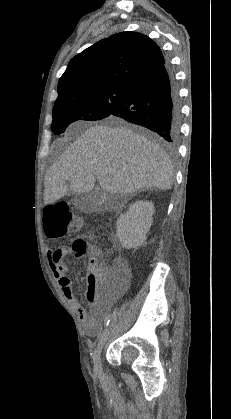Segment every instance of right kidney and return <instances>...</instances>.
<instances>
[{"mask_svg":"<svg viewBox=\"0 0 231 419\" xmlns=\"http://www.w3.org/2000/svg\"><path fill=\"white\" fill-rule=\"evenodd\" d=\"M154 206L149 201H136L116 221V235L122 247L130 249L143 244L153 222Z\"/></svg>","mask_w":231,"mask_h":419,"instance_id":"ca27d5eb","label":"right kidney"}]
</instances>
